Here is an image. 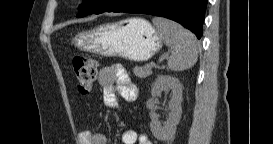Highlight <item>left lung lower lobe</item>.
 <instances>
[{
    "label": "left lung lower lobe",
    "mask_w": 273,
    "mask_h": 144,
    "mask_svg": "<svg viewBox=\"0 0 273 144\" xmlns=\"http://www.w3.org/2000/svg\"><path fill=\"white\" fill-rule=\"evenodd\" d=\"M207 0H105L93 14L103 12L143 13L174 20L202 37Z\"/></svg>",
    "instance_id": "1"
}]
</instances>
